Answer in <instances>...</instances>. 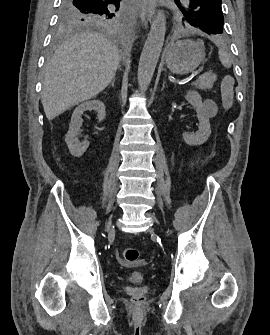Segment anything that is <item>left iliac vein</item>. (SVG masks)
I'll list each match as a JSON object with an SVG mask.
<instances>
[{"label":"left iliac vein","instance_id":"obj_1","mask_svg":"<svg viewBox=\"0 0 270 335\" xmlns=\"http://www.w3.org/2000/svg\"><path fill=\"white\" fill-rule=\"evenodd\" d=\"M149 217H151L156 223H157V220H156V218L153 216V215H151V214H147Z\"/></svg>","mask_w":270,"mask_h":335}]
</instances>
